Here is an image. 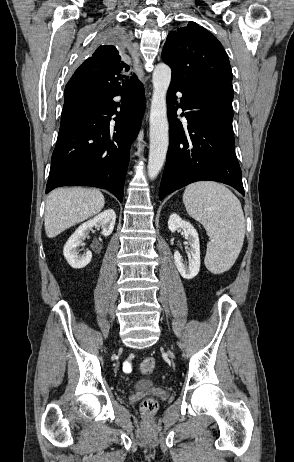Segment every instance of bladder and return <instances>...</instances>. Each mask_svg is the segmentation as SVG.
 I'll use <instances>...</instances> for the list:
<instances>
[{
	"mask_svg": "<svg viewBox=\"0 0 294 462\" xmlns=\"http://www.w3.org/2000/svg\"><path fill=\"white\" fill-rule=\"evenodd\" d=\"M153 385V381H138L133 388L136 391H144L150 389Z\"/></svg>",
	"mask_w": 294,
	"mask_h": 462,
	"instance_id": "1",
	"label": "bladder"
}]
</instances>
